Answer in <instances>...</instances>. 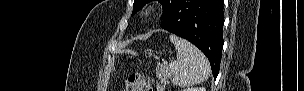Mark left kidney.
Wrapping results in <instances>:
<instances>
[{"label":"left kidney","mask_w":304,"mask_h":91,"mask_svg":"<svg viewBox=\"0 0 304 91\" xmlns=\"http://www.w3.org/2000/svg\"><path fill=\"white\" fill-rule=\"evenodd\" d=\"M183 91H206V89L203 87H194V88L184 89Z\"/></svg>","instance_id":"left-kidney-1"}]
</instances>
